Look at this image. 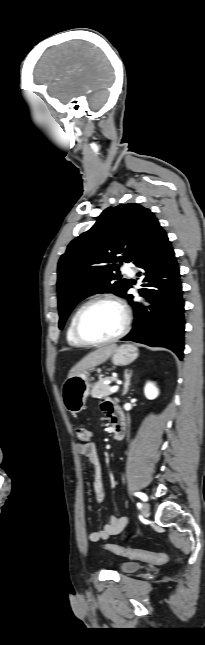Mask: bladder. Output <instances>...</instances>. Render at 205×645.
<instances>
[{
  "label": "bladder",
  "instance_id": "obj_1",
  "mask_svg": "<svg viewBox=\"0 0 205 645\" xmlns=\"http://www.w3.org/2000/svg\"><path fill=\"white\" fill-rule=\"evenodd\" d=\"M116 567L118 571L125 574L134 573L142 568L139 562L132 561V560L119 562Z\"/></svg>",
  "mask_w": 205,
  "mask_h": 645
}]
</instances>
